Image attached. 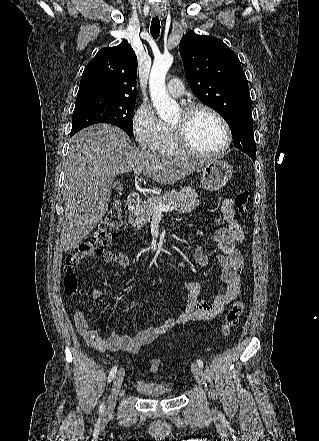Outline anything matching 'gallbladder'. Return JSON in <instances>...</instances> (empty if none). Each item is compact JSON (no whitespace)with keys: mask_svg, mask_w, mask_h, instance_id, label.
Here are the masks:
<instances>
[{"mask_svg":"<svg viewBox=\"0 0 319 441\" xmlns=\"http://www.w3.org/2000/svg\"><path fill=\"white\" fill-rule=\"evenodd\" d=\"M113 189L121 192L123 189V185L121 183L115 182L113 185Z\"/></svg>","mask_w":319,"mask_h":441,"instance_id":"bac80fb5","label":"gallbladder"}]
</instances>
